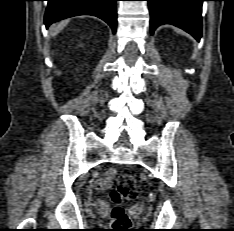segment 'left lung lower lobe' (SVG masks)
Masks as SVG:
<instances>
[{
  "instance_id": "0a47b994",
  "label": "left lung lower lobe",
  "mask_w": 234,
  "mask_h": 231,
  "mask_svg": "<svg viewBox=\"0 0 234 231\" xmlns=\"http://www.w3.org/2000/svg\"><path fill=\"white\" fill-rule=\"evenodd\" d=\"M150 10V32L162 24L175 25L197 41L202 36V2L207 0H147Z\"/></svg>"
}]
</instances>
